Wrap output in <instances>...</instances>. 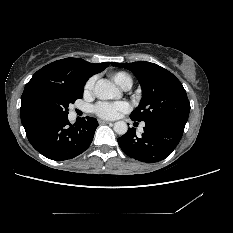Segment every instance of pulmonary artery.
<instances>
[{
	"mask_svg": "<svg viewBox=\"0 0 233 233\" xmlns=\"http://www.w3.org/2000/svg\"><path fill=\"white\" fill-rule=\"evenodd\" d=\"M130 87H131V85L128 84V85H126L125 87H123V89L128 90V89H130Z\"/></svg>",
	"mask_w": 233,
	"mask_h": 233,
	"instance_id": "pulmonary-artery-1",
	"label": "pulmonary artery"
}]
</instances>
